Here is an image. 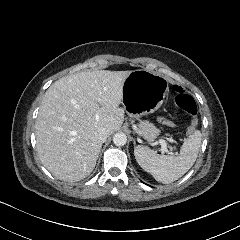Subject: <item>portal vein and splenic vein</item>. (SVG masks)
Masks as SVG:
<instances>
[{
  "label": "portal vein and splenic vein",
  "mask_w": 240,
  "mask_h": 240,
  "mask_svg": "<svg viewBox=\"0 0 240 240\" xmlns=\"http://www.w3.org/2000/svg\"><path fill=\"white\" fill-rule=\"evenodd\" d=\"M154 145H161V150L163 153H168V154H171V152H168L167 148H166V141L163 140V139H160V140H157L155 143H153ZM177 154V153H175Z\"/></svg>",
  "instance_id": "1"
}]
</instances>
